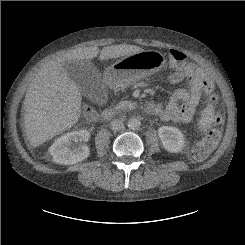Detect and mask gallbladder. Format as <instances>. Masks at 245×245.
<instances>
[{"instance_id":"1","label":"gallbladder","mask_w":245,"mask_h":245,"mask_svg":"<svg viewBox=\"0 0 245 245\" xmlns=\"http://www.w3.org/2000/svg\"><path fill=\"white\" fill-rule=\"evenodd\" d=\"M70 79L79 87L80 92L95 101H105V86L99 70L88 60L66 62L64 66Z\"/></svg>"}]
</instances>
